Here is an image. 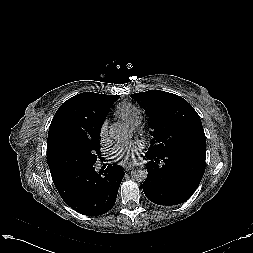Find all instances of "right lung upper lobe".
<instances>
[{
	"instance_id": "obj_1",
	"label": "right lung upper lobe",
	"mask_w": 253,
	"mask_h": 253,
	"mask_svg": "<svg viewBox=\"0 0 253 253\" xmlns=\"http://www.w3.org/2000/svg\"><path fill=\"white\" fill-rule=\"evenodd\" d=\"M118 98L119 95L84 92L64 102L49 127L47 156L65 140L100 134L110 107Z\"/></svg>"
}]
</instances>
